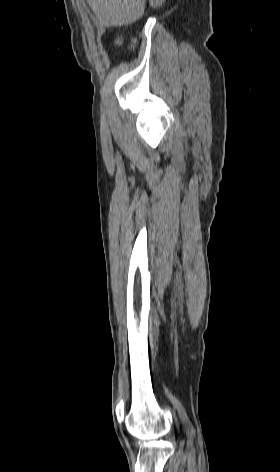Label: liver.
Instances as JSON below:
<instances>
[{
	"label": "liver",
	"instance_id": "6515ba94",
	"mask_svg": "<svg viewBox=\"0 0 280 472\" xmlns=\"http://www.w3.org/2000/svg\"><path fill=\"white\" fill-rule=\"evenodd\" d=\"M96 15V24L121 26L139 19L145 8V0H87Z\"/></svg>",
	"mask_w": 280,
	"mask_h": 472
}]
</instances>
